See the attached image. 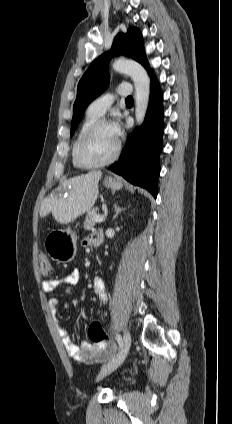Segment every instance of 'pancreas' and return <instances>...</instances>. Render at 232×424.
Returning a JSON list of instances; mask_svg holds the SVG:
<instances>
[{
  "mask_svg": "<svg viewBox=\"0 0 232 424\" xmlns=\"http://www.w3.org/2000/svg\"><path fill=\"white\" fill-rule=\"evenodd\" d=\"M96 216H98V214H97V208H94V209H92V210L88 213V215H87V217H86V219H85V222H84V229H86V230H91V229H93V227H94V226H95V224H96V222L94 221V218H95Z\"/></svg>",
  "mask_w": 232,
  "mask_h": 424,
  "instance_id": "obj_1",
  "label": "pancreas"
}]
</instances>
